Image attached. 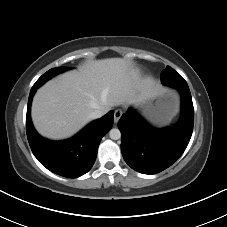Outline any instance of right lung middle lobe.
<instances>
[{
	"label": "right lung middle lobe",
	"instance_id": "1",
	"mask_svg": "<svg viewBox=\"0 0 227 227\" xmlns=\"http://www.w3.org/2000/svg\"><path fill=\"white\" fill-rule=\"evenodd\" d=\"M67 69L68 68H66V67H57V68L48 70L36 81V83L33 85V87H40L47 80L51 79L52 77H54L55 75H57L61 72L66 71Z\"/></svg>",
	"mask_w": 227,
	"mask_h": 227
}]
</instances>
